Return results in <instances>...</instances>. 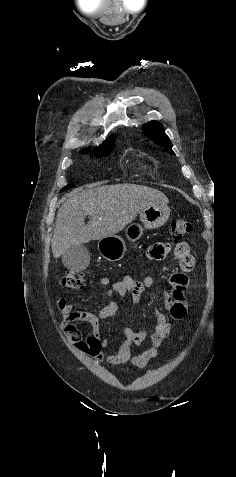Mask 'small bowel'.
Wrapping results in <instances>:
<instances>
[{
    "mask_svg": "<svg viewBox=\"0 0 236 477\" xmlns=\"http://www.w3.org/2000/svg\"><path fill=\"white\" fill-rule=\"evenodd\" d=\"M180 247L189 249L185 242L177 244ZM170 252V245L167 243H157L149 251V256L154 260L164 259ZM181 263V271L175 273L171 278L172 291L160 290L164 306L170 311L174 320L182 321L188 312V299L186 289L188 287V278L186 273L194 266V257L190 253L176 257ZM101 286L106 291V302L98 313L76 311L66 298L58 300L57 305L61 312V329L67 338L75 347L94 358L99 362H106L112 366H122L132 364L142 367L156 358L159 354V347L164 339L169 337L172 332V324L168 318L159 310L155 311V324L151 329H141L138 331L130 327L123 328L124 337L118 348L113 351H107L108 340L100 337L99 322L103 319L113 318L118 313V303L113 299L117 294L121 297L129 296L134 304H138L146 289L156 288V279L152 276L145 277L142 281L135 280L129 275L113 282L108 277L100 279ZM86 322L90 325L88 333H84L79 323ZM150 339L151 346L137 356L132 355V349Z\"/></svg>",
    "mask_w": 236,
    "mask_h": 477,
    "instance_id": "c3829d8e",
    "label": "small bowel"
}]
</instances>
